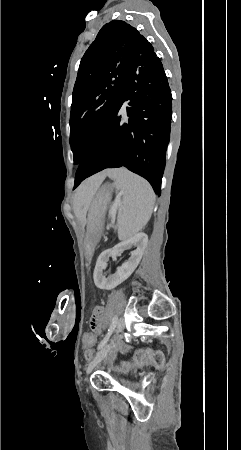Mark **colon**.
Returning <instances> with one entry per match:
<instances>
[{
  "label": "colon",
  "instance_id": "1",
  "mask_svg": "<svg viewBox=\"0 0 241 450\" xmlns=\"http://www.w3.org/2000/svg\"><path fill=\"white\" fill-rule=\"evenodd\" d=\"M82 342L84 345H91L93 343V340L95 339V332L91 331L90 329H87L84 332ZM97 353H94L93 351L88 350L87 348L84 350L83 355L86 360V362H91V357ZM166 350H161L160 353L158 351H150L148 348H146L144 351H139L134 356V361L137 365H143L145 363H155V366L157 369H162L164 366V357L167 356Z\"/></svg>",
  "mask_w": 241,
  "mask_h": 450
}]
</instances>
